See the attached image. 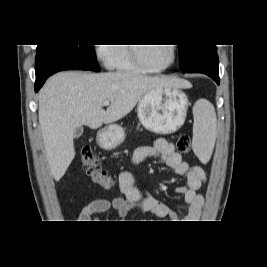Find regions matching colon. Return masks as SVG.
<instances>
[{
  "instance_id": "5ec220e1",
  "label": "colon",
  "mask_w": 267,
  "mask_h": 267,
  "mask_svg": "<svg viewBox=\"0 0 267 267\" xmlns=\"http://www.w3.org/2000/svg\"><path fill=\"white\" fill-rule=\"evenodd\" d=\"M181 153H188L191 149V139L187 134H181L176 143ZM81 162L86 174L96 183L111 187L113 182L107 173L101 168L99 161L91 148L85 147L81 151Z\"/></svg>"
}]
</instances>
